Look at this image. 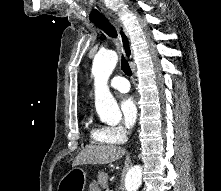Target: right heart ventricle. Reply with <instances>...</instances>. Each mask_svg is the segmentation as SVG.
Instances as JSON below:
<instances>
[{
  "label": "right heart ventricle",
  "instance_id": "e07e8e85",
  "mask_svg": "<svg viewBox=\"0 0 221 191\" xmlns=\"http://www.w3.org/2000/svg\"><path fill=\"white\" fill-rule=\"evenodd\" d=\"M90 137L93 141L100 144H108L111 143L108 139H106L102 134V128L91 127L90 128Z\"/></svg>",
  "mask_w": 221,
  "mask_h": 191
}]
</instances>
